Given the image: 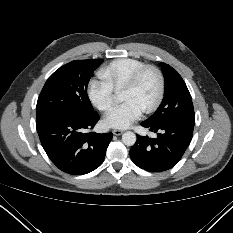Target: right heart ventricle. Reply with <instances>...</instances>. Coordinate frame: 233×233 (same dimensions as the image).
I'll return each instance as SVG.
<instances>
[{"label":"right heart ventricle","mask_w":233,"mask_h":233,"mask_svg":"<svg viewBox=\"0 0 233 233\" xmlns=\"http://www.w3.org/2000/svg\"><path fill=\"white\" fill-rule=\"evenodd\" d=\"M145 63L135 58H118L98 71V76L106 81L113 90L122 88L132 74Z\"/></svg>","instance_id":"obj_1"}]
</instances>
